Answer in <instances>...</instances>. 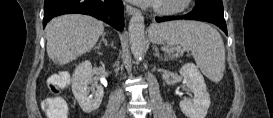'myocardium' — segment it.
<instances>
[{
    "instance_id": "obj_1",
    "label": "myocardium",
    "mask_w": 273,
    "mask_h": 118,
    "mask_svg": "<svg viewBox=\"0 0 273 118\" xmlns=\"http://www.w3.org/2000/svg\"><path fill=\"white\" fill-rule=\"evenodd\" d=\"M190 1L191 0H176L173 3L161 1L154 6V9L159 14L171 15L186 9Z\"/></svg>"
}]
</instances>
